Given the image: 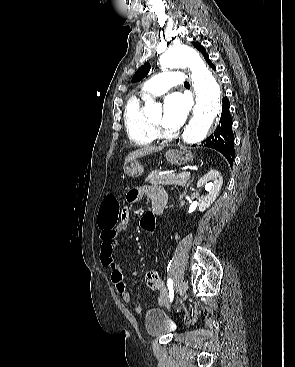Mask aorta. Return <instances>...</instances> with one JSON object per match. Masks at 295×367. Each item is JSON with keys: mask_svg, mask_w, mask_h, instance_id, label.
I'll return each instance as SVG.
<instances>
[{"mask_svg": "<svg viewBox=\"0 0 295 367\" xmlns=\"http://www.w3.org/2000/svg\"><path fill=\"white\" fill-rule=\"evenodd\" d=\"M159 62L163 68H190L196 104L193 108V117L184 129L182 139L187 144L203 141L221 109V91L216 78L199 54L186 46L172 47L161 55ZM160 110L153 100L146 101L144 107L146 116H151Z\"/></svg>", "mask_w": 295, "mask_h": 367, "instance_id": "obj_1", "label": "aorta"}]
</instances>
